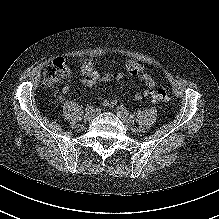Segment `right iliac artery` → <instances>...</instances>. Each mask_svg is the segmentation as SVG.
<instances>
[{"label": "right iliac artery", "instance_id": "obj_1", "mask_svg": "<svg viewBox=\"0 0 219 219\" xmlns=\"http://www.w3.org/2000/svg\"><path fill=\"white\" fill-rule=\"evenodd\" d=\"M93 110H94V107H93V106H87V107L85 108V111H86V112H93Z\"/></svg>", "mask_w": 219, "mask_h": 219}]
</instances>
